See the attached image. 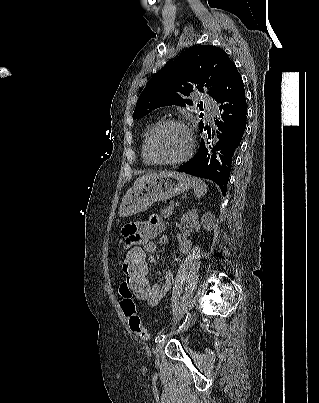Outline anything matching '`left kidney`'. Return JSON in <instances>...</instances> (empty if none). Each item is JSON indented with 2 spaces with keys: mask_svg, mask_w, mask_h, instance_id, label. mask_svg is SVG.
<instances>
[{
  "mask_svg": "<svg viewBox=\"0 0 319 403\" xmlns=\"http://www.w3.org/2000/svg\"><path fill=\"white\" fill-rule=\"evenodd\" d=\"M181 222L194 226L196 231H198L200 229L198 215H197L196 210H194V209L189 210L186 214H184L181 218ZM177 239L179 240L180 251L183 253H186L188 251V249L191 247V242L182 241L180 234H177Z\"/></svg>",
  "mask_w": 319,
  "mask_h": 403,
  "instance_id": "left-kidney-1",
  "label": "left kidney"
}]
</instances>
